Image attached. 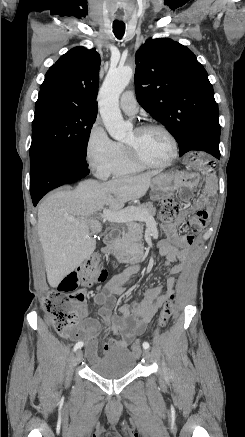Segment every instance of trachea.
<instances>
[{
    "label": "trachea",
    "instance_id": "3493384b",
    "mask_svg": "<svg viewBox=\"0 0 245 437\" xmlns=\"http://www.w3.org/2000/svg\"><path fill=\"white\" fill-rule=\"evenodd\" d=\"M113 32L118 39H121L125 33V24L123 22H113Z\"/></svg>",
    "mask_w": 245,
    "mask_h": 437
}]
</instances>
